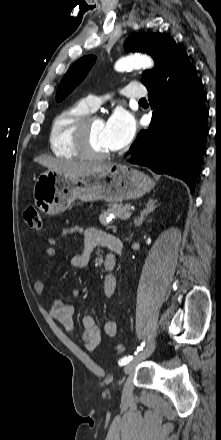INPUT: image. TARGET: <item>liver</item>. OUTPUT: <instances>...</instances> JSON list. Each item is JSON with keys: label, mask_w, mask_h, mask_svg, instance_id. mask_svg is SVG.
I'll return each instance as SVG.
<instances>
[{"label": "liver", "mask_w": 221, "mask_h": 440, "mask_svg": "<svg viewBox=\"0 0 221 440\" xmlns=\"http://www.w3.org/2000/svg\"><path fill=\"white\" fill-rule=\"evenodd\" d=\"M34 162H37L47 167L49 170L55 171L56 173L72 176L89 174L91 172L98 171L111 165L109 163L67 161L49 156L36 157L34 158Z\"/></svg>", "instance_id": "1"}]
</instances>
